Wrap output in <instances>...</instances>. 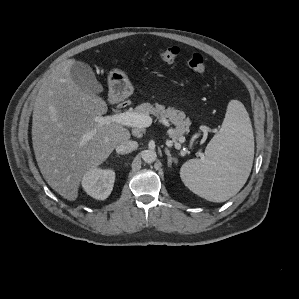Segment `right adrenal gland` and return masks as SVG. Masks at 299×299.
Wrapping results in <instances>:
<instances>
[{"label":"right adrenal gland","mask_w":299,"mask_h":299,"mask_svg":"<svg viewBox=\"0 0 299 299\" xmlns=\"http://www.w3.org/2000/svg\"><path fill=\"white\" fill-rule=\"evenodd\" d=\"M116 157L121 158V156L119 154H117Z\"/></svg>","instance_id":"right-adrenal-gland-1"}]
</instances>
